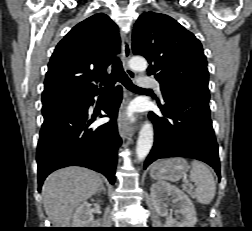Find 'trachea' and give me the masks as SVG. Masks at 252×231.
Returning a JSON list of instances; mask_svg holds the SVG:
<instances>
[{"label":"trachea","mask_w":252,"mask_h":231,"mask_svg":"<svg viewBox=\"0 0 252 231\" xmlns=\"http://www.w3.org/2000/svg\"><path fill=\"white\" fill-rule=\"evenodd\" d=\"M117 80H120V82L130 91L132 92H138V91H148L147 89L140 88L132 83L128 75L125 73L122 63L119 58H117L113 65H112V73L111 76L103 81V91L109 92L113 88L114 84Z\"/></svg>","instance_id":"1"}]
</instances>
